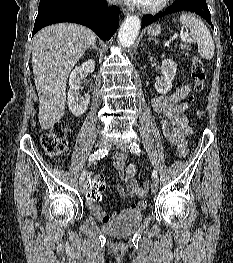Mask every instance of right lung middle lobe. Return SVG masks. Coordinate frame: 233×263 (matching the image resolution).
Wrapping results in <instances>:
<instances>
[{
	"label": "right lung middle lobe",
	"mask_w": 233,
	"mask_h": 263,
	"mask_svg": "<svg viewBox=\"0 0 233 263\" xmlns=\"http://www.w3.org/2000/svg\"><path fill=\"white\" fill-rule=\"evenodd\" d=\"M79 0H40L38 14L56 7H74Z\"/></svg>",
	"instance_id": "dd1d6c3e"
}]
</instances>
